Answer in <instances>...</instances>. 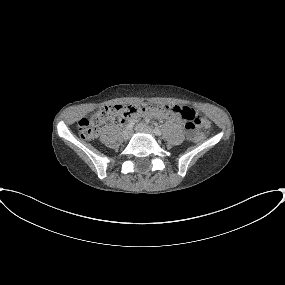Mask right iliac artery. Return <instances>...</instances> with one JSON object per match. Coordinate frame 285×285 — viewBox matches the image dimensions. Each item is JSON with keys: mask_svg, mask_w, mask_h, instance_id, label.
Wrapping results in <instances>:
<instances>
[{"mask_svg": "<svg viewBox=\"0 0 285 285\" xmlns=\"http://www.w3.org/2000/svg\"><path fill=\"white\" fill-rule=\"evenodd\" d=\"M133 127H134V123L133 122L127 124V129L131 130Z\"/></svg>", "mask_w": 285, "mask_h": 285, "instance_id": "right-iliac-artery-1", "label": "right iliac artery"}]
</instances>
